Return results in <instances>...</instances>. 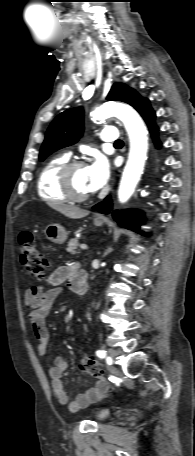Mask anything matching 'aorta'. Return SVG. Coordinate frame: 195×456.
Returning <instances> with one entry per match:
<instances>
[{
    "instance_id": "obj_1",
    "label": "aorta",
    "mask_w": 195,
    "mask_h": 456,
    "mask_svg": "<svg viewBox=\"0 0 195 456\" xmlns=\"http://www.w3.org/2000/svg\"><path fill=\"white\" fill-rule=\"evenodd\" d=\"M90 115L94 120H103L115 116L124 123L128 133L129 155L118 189L119 201L124 203L134 193L147 159L148 136L146 127L138 113L132 107L122 103H104L92 111Z\"/></svg>"
}]
</instances>
